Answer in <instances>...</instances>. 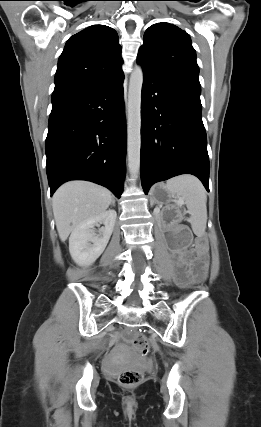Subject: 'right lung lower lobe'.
Wrapping results in <instances>:
<instances>
[{
	"label": "right lung lower lobe",
	"mask_w": 261,
	"mask_h": 427,
	"mask_svg": "<svg viewBox=\"0 0 261 427\" xmlns=\"http://www.w3.org/2000/svg\"><path fill=\"white\" fill-rule=\"evenodd\" d=\"M124 75L52 103L46 138L51 195L64 182L88 180L118 198L125 176Z\"/></svg>",
	"instance_id": "98d812e1"
}]
</instances>
